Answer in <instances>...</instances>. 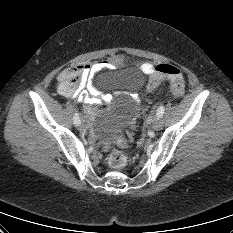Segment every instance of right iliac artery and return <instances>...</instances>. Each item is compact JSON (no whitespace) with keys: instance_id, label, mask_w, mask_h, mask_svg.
Wrapping results in <instances>:
<instances>
[{"instance_id":"obj_1","label":"right iliac artery","mask_w":233,"mask_h":233,"mask_svg":"<svg viewBox=\"0 0 233 233\" xmlns=\"http://www.w3.org/2000/svg\"><path fill=\"white\" fill-rule=\"evenodd\" d=\"M73 123L77 126L78 123H80V118L79 114L75 112L74 117H73Z\"/></svg>"}]
</instances>
